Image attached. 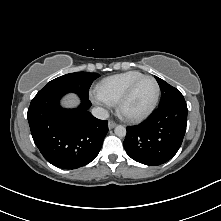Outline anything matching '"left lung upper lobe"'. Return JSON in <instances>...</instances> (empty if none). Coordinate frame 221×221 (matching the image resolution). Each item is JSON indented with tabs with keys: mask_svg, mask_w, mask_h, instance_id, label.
Returning <instances> with one entry per match:
<instances>
[{
	"mask_svg": "<svg viewBox=\"0 0 221 221\" xmlns=\"http://www.w3.org/2000/svg\"><path fill=\"white\" fill-rule=\"evenodd\" d=\"M155 78L161 89V101L159 106H163L176 101H185L183 95L178 89L172 87L167 82L156 76Z\"/></svg>",
	"mask_w": 221,
	"mask_h": 221,
	"instance_id": "1",
	"label": "left lung upper lobe"
}]
</instances>
